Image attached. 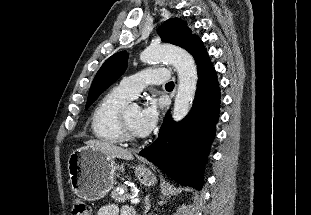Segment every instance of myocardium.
I'll return each mask as SVG.
<instances>
[{
  "mask_svg": "<svg viewBox=\"0 0 311 215\" xmlns=\"http://www.w3.org/2000/svg\"><path fill=\"white\" fill-rule=\"evenodd\" d=\"M131 105L133 104H127L121 109L120 114H119V123H120L123 140L127 142H136L138 141V137L131 131L126 120V113H127L128 108Z\"/></svg>",
  "mask_w": 311,
  "mask_h": 215,
  "instance_id": "1",
  "label": "myocardium"
}]
</instances>
